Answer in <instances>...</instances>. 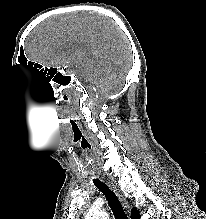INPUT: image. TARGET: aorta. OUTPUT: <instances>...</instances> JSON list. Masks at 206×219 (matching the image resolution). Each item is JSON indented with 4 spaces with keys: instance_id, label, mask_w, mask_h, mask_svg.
Returning <instances> with one entry per match:
<instances>
[{
    "instance_id": "obj_1",
    "label": "aorta",
    "mask_w": 206,
    "mask_h": 219,
    "mask_svg": "<svg viewBox=\"0 0 206 219\" xmlns=\"http://www.w3.org/2000/svg\"><path fill=\"white\" fill-rule=\"evenodd\" d=\"M108 215L106 212H92L88 214L86 219H108Z\"/></svg>"
}]
</instances>
